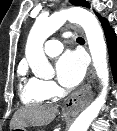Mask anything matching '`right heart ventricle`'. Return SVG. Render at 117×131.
<instances>
[{"mask_svg":"<svg viewBox=\"0 0 117 131\" xmlns=\"http://www.w3.org/2000/svg\"><path fill=\"white\" fill-rule=\"evenodd\" d=\"M43 81L36 77L22 76L19 84L20 98L26 105H41L50 96L43 88Z\"/></svg>","mask_w":117,"mask_h":131,"instance_id":"right-heart-ventricle-1","label":"right heart ventricle"}]
</instances>
